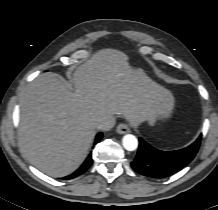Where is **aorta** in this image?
Returning <instances> with one entry per match:
<instances>
[{
	"mask_svg": "<svg viewBox=\"0 0 218 210\" xmlns=\"http://www.w3.org/2000/svg\"><path fill=\"white\" fill-rule=\"evenodd\" d=\"M123 146L128 151H134L138 147V140L132 134H127L122 139Z\"/></svg>",
	"mask_w": 218,
	"mask_h": 210,
	"instance_id": "1",
	"label": "aorta"
}]
</instances>
